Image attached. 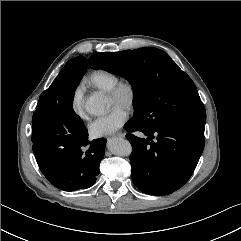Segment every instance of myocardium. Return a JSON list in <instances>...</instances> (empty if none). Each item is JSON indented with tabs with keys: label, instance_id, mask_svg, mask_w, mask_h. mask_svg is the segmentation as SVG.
Instances as JSON below:
<instances>
[{
	"label": "myocardium",
	"instance_id": "obj_1",
	"mask_svg": "<svg viewBox=\"0 0 241 241\" xmlns=\"http://www.w3.org/2000/svg\"><path fill=\"white\" fill-rule=\"evenodd\" d=\"M124 93L128 95L125 108L133 109L137 104L139 91L137 85L131 80L119 81L108 94L113 99H119Z\"/></svg>",
	"mask_w": 241,
	"mask_h": 241
}]
</instances>
